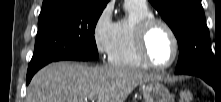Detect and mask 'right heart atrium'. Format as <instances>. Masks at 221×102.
Here are the masks:
<instances>
[{"mask_svg": "<svg viewBox=\"0 0 221 102\" xmlns=\"http://www.w3.org/2000/svg\"><path fill=\"white\" fill-rule=\"evenodd\" d=\"M116 30L112 7L106 6L97 16L92 29V38L96 51L102 57H109Z\"/></svg>", "mask_w": 221, "mask_h": 102, "instance_id": "d8ad5b80", "label": "right heart atrium"}]
</instances>
